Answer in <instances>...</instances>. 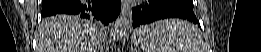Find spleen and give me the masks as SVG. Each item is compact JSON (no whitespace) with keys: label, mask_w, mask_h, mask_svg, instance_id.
Masks as SVG:
<instances>
[{"label":"spleen","mask_w":261,"mask_h":52,"mask_svg":"<svg viewBox=\"0 0 261 52\" xmlns=\"http://www.w3.org/2000/svg\"><path fill=\"white\" fill-rule=\"evenodd\" d=\"M145 52H204L198 29L179 19L157 21L141 27Z\"/></svg>","instance_id":"obj_1"}]
</instances>
